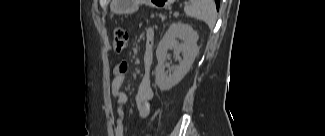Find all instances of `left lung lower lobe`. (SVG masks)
I'll return each mask as SVG.
<instances>
[{
	"mask_svg": "<svg viewBox=\"0 0 325 136\" xmlns=\"http://www.w3.org/2000/svg\"><path fill=\"white\" fill-rule=\"evenodd\" d=\"M217 9L219 8L220 0H215Z\"/></svg>",
	"mask_w": 325,
	"mask_h": 136,
	"instance_id": "1",
	"label": "left lung lower lobe"
}]
</instances>
